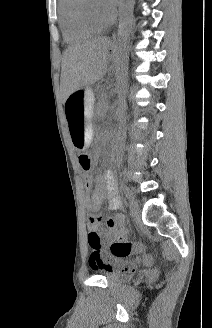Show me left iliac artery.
Masks as SVG:
<instances>
[{
  "label": "left iliac artery",
  "mask_w": 212,
  "mask_h": 328,
  "mask_svg": "<svg viewBox=\"0 0 212 328\" xmlns=\"http://www.w3.org/2000/svg\"><path fill=\"white\" fill-rule=\"evenodd\" d=\"M123 192H124V194H125V196H126L127 198L130 197V191H129V188H128L127 186H125V185H123Z\"/></svg>",
  "instance_id": "obj_1"
}]
</instances>
